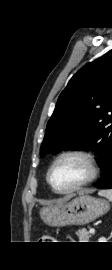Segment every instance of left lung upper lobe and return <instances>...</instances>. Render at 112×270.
<instances>
[{"instance_id": "1", "label": "left lung upper lobe", "mask_w": 112, "mask_h": 270, "mask_svg": "<svg viewBox=\"0 0 112 270\" xmlns=\"http://www.w3.org/2000/svg\"><path fill=\"white\" fill-rule=\"evenodd\" d=\"M95 151L102 168L112 152V50L82 67L60 94L40 148Z\"/></svg>"}]
</instances>
